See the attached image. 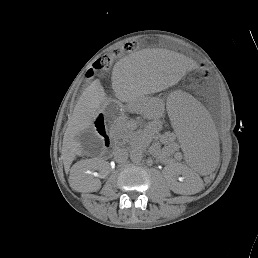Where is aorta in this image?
<instances>
[{
    "label": "aorta",
    "instance_id": "obj_1",
    "mask_svg": "<svg viewBox=\"0 0 258 258\" xmlns=\"http://www.w3.org/2000/svg\"><path fill=\"white\" fill-rule=\"evenodd\" d=\"M130 158L134 163H139L142 160V153L139 150L133 149L130 153Z\"/></svg>",
    "mask_w": 258,
    "mask_h": 258
}]
</instances>
